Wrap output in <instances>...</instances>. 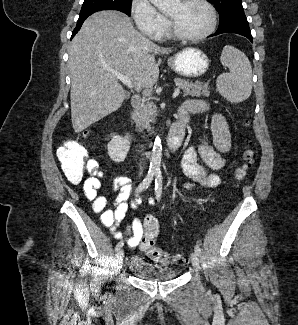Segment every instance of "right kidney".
<instances>
[{"label":"right kidney","instance_id":"1","mask_svg":"<svg viewBox=\"0 0 298 325\" xmlns=\"http://www.w3.org/2000/svg\"><path fill=\"white\" fill-rule=\"evenodd\" d=\"M107 148L110 158L115 160V163H122V160L127 156L128 150H130V140L112 132V138L109 140Z\"/></svg>","mask_w":298,"mask_h":325}]
</instances>
